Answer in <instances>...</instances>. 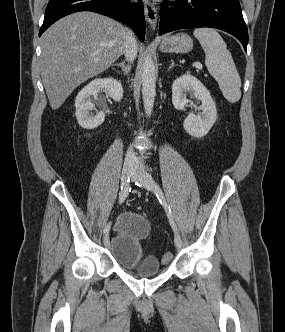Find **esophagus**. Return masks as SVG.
Listing matches in <instances>:
<instances>
[{
  "mask_svg": "<svg viewBox=\"0 0 285 332\" xmlns=\"http://www.w3.org/2000/svg\"><path fill=\"white\" fill-rule=\"evenodd\" d=\"M143 3L147 22L150 25V28L155 30L157 25V9L150 0H143Z\"/></svg>",
  "mask_w": 285,
  "mask_h": 332,
  "instance_id": "34e87169",
  "label": "esophagus"
}]
</instances>
